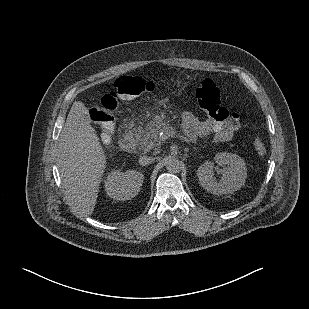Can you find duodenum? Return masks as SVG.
Segmentation results:
<instances>
[{
  "instance_id": "1",
  "label": "duodenum",
  "mask_w": 309,
  "mask_h": 309,
  "mask_svg": "<svg viewBox=\"0 0 309 309\" xmlns=\"http://www.w3.org/2000/svg\"><path fill=\"white\" fill-rule=\"evenodd\" d=\"M136 137L133 131H128L122 135L119 140L120 148L125 151L129 152L132 151L135 147Z\"/></svg>"
}]
</instances>
